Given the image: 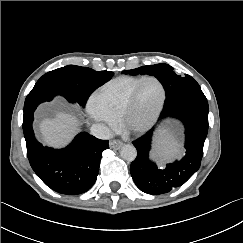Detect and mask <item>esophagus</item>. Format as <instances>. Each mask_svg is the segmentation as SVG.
<instances>
[{"mask_svg":"<svg viewBox=\"0 0 243 243\" xmlns=\"http://www.w3.org/2000/svg\"><path fill=\"white\" fill-rule=\"evenodd\" d=\"M109 145H110V148L117 150L123 145V143L118 140H113L109 143Z\"/></svg>","mask_w":243,"mask_h":243,"instance_id":"esophagus-1","label":"esophagus"}]
</instances>
